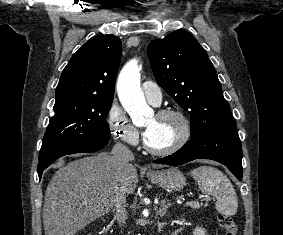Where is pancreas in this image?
<instances>
[{
    "label": "pancreas",
    "instance_id": "cf45deb5",
    "mask_svg": "<svg viewBox=\"0 0 283 235\" xmlns=\"http://www.w3.org/2000/svg\"><path fill=\"white\" fill-rule=\"evenodd\" d=\"M189 206L194 208V209L200 208V205L198 203H191V204H189Z\"/></svg>",
    "mask_w": 283,
    "mask_h": 235
}]
</instances>
